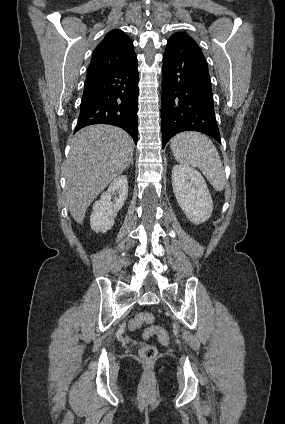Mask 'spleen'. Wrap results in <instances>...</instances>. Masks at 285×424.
Returning <instances> with one entry per match:
<instances>
[{"label":"spleen","mask_w":285,"mask_h":424,"mask_svg":"<svg viewBox=\"0 0 285 424\" xmlns=\"http://www.w3.org/2000/svg\"><path fill=\"white\" fill-rule=\"evenodd\" d=\"M170 147L178 162L199 168L216 191H223L224 168L215 145L207 136L183 132L172 138Z\"/></svg>","instance_id":"obj_1"}]
</instances>
